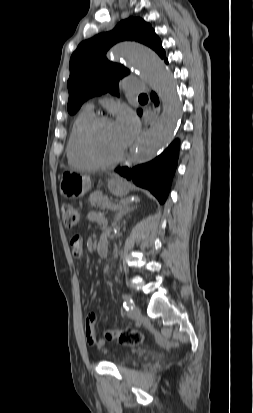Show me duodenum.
Returning a JSON list of instances; mask_svg holds the SVG:
<instances>
[{
	"label": "duodenum",
	"instance_id": "duodenum-1",
	"mask_svg": "<svg viewBox=\"0 0 253 413\" xmlns=\"http://www.w3.org/2000/svg\"><path fill=\"white\" fill-rule=\"evenodd\" d=\"M97 254L100 257H105L108 252V240L106 235H103L96 245Z\"/></svg>",
	"mask_w": 253,
	"mask_h": 413
}]
</instances>
